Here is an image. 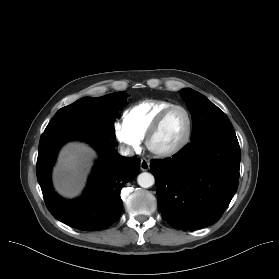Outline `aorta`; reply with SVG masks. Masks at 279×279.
Instances as JSON below:
<instances>
[{"instance_id": "762f6f07", "label": "aorta", "mask_w": 279, "mask_h": 279, "mask_svg": "<svg viewBox=\"0 0 279 279\" xmlns=\"http://www.w3.org/2000/svg\"><path fill=\"white\" fill-rule=\"evenodd\" d=\"M137 182L142 188H149L154 185L155 179L151 173L143 172L138 175Z\"/></svg>"}]
</instances>
